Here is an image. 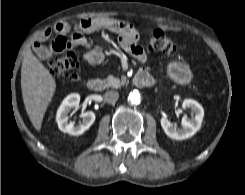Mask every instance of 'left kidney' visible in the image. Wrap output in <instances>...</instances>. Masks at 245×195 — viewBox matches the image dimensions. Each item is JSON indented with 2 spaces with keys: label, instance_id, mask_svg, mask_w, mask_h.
I'll use <instances>...</instances> for the list:
<instances>
[{
  "label": "left kidney",
  "instance_id": "obj_1",
  "mask_svg": "<svg viewBox=\"0 0 245 195\" xmlns=\"http://www.w3.org/2000/svg\"><path fill=\"white\" fill-rule=\"evenodd\" d=\"M183 108H190L194 113L195 117L189 119L187 116L182 118V128L177 129L173 124L166 118L162 117L160 122L165 134L171 139L184 140L192 137L201 127L202 120L204 117L203 107L193 99H185L183 101Z\"/></svg>",
  "mask_w": 245,
  "mask_h": 195
}]
</instances>
